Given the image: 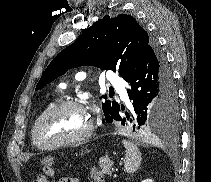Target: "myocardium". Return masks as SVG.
Here are the masks:
<instances>
[{"mask_svg": "<svg viewBox=\"0 0 211 182\" xmlns=\"http://www.w3.org/2000/svg\"><path fill=\"white\" fill-rule=\"evenodd\" d=\"M69 107L80 109L89 115L87 109L85 108V106L83 104L73 101V100H65V101H61V102L54 104L49 109H47L45 112H43L34 124L33 140H34L35 144L37 145V147H39L41 149H54V148L63 147V146L78 145V144L84 143L92 136L95 125H94L93 119L89 115V117H90L89 126L82 135L72 138V139L62 140V141H58V142H54V143H44L43 142V140L41 139L40 134H39L40 127L43 124V122L48 117H50L54 113L58 112L59 110H62L64 108H69Z\"/></svg>", "mask_w": 211, "mask_h": 182, "instance_id": "f54148a6", "label": "myocardium"}]
</instances>
